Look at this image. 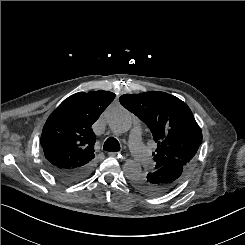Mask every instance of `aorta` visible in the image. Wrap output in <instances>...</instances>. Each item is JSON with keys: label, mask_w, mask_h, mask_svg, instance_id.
I'll return each instance as SVG.
<instances>
[{"label": "aorta", "mask_w": 245, "mask_h": 245, "mask_svg": "<svg viewBox=\"0 0 245 245\" xmlns=\"http://www.w3.org/2000/svg\"><path fill=\"white\" fill-rule=\"evenodd\" d=\"M107 124L110 130L115 134H124L131 129V114L122 107L112 109L107 116ZM123 172L127 179L142 174L141 165L134 160H127L123 165Z\"/></svg>", "instance_id": "aorta-1"}]
</instances>
